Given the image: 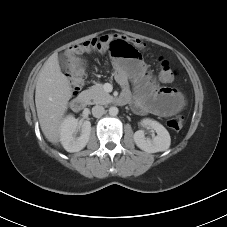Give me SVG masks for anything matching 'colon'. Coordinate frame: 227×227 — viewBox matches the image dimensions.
<instances>
[{"label": "colon", "instance_id": "colon-1", "mask_svg": "<svg viewBox=\"0 0 227 227\" xmlns=\"http://www.w3.org/2000/svg\"><path fill=\"white\" fill-rule=\"evenodd\" d=\"M143 48L144 44L140 40L131 39L119 34H108L69 47L66 50V57L68 62L73 56L81 57L87 52L108 50L110 55L117 60L137 59L139 57L138 50ZM158 68L159 77L162 82L173 83L176 80L178 73L167 60L160 58ZM69 79L73 89L79 90L83 84L84 75L79 79H72L70 77ZM167 125L172 130L179 131L184 125V119L181 115L173 116L168 120Z\"/></svg>", "mask_w": 227, "mask_h": 227}]
</instances>
